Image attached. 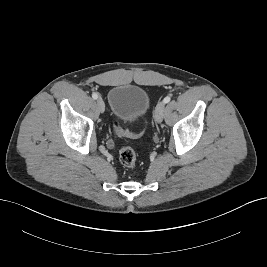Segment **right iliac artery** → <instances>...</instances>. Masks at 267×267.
Listing matches in <instances>:
<instances>
[{
  "label": "right iliac artery",
  "mask_w": 267,
  "mask_h": 267,
  "mask_svg": "<svg viewBox=\"0 0 267 267\" xmlns=\"http://www.w3.org/2000/svg\"><path fill=\"white\" fill-rule=\"evenodd\" d=\"M92 98H93V99H97V98H98V94H97V93H93V94H92Z\"/></svg>",
  "instance_id": "right-iliac-artery-1"
}]
</instances>
